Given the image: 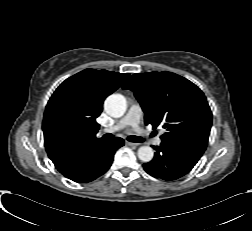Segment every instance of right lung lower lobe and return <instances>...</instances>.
Listing matches in <instances>:
<instances>
[{
    "mask_svg": "<svg viewBox=\"0 0 252 231\" xmlns=\"http://www.w3.org/2000/svg\"><path fill=\"white\" fill-rule=\"evenodd\" d=\"M124 145L122 138L102 141L85 147L73 172L66 176L74 182L87 183L103 175L111 166L114 154Z\"/></svg>",
    "mask_w": 252,
    "mask_h": 231,
    "instance_id": "98d812e1",
    "label": "right lung lower lobe"
}]
</instances>
